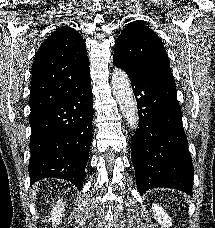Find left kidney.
Segmentation results:
<instances>
[{"mask_svg":"<svg viewBox=\"0 0 215 228\" xmlns=\"http://www.w3.org/2000/svg\"><path fill=\"white\" fill-rule=\"evenodd\" d=\"M154 220L158 222L159 226L161 228H171L172 226V220L168 214H166L165 210L161 208V206H158V204H152L151 206Z\"/></svg>","mask_w":215,"mask_h":228,"instance_id":"left-kidney-1","label":"left kidney"}]
</instances>
